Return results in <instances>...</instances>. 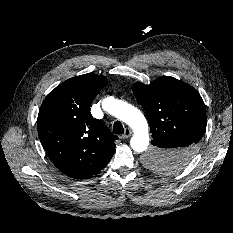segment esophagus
Wrapping results in <instances>:
<instances>
[{
    "label": "esophagus",
    "instance_id": "34e87169",
    "mask_svg": "<svg viewBox=\"0 0 233 233\" xmlns=\"http://www.w3.org/2000/svg\"><path fill=\"white\" fill-rule=\"evenodd\" d=\"M132 132L131 129L126 128L124 131V134L121 136L122 139H127L131 136Z\"/></svg>",
    "mask_w": 233,
    "mask_h": 233
}]
</instances>
